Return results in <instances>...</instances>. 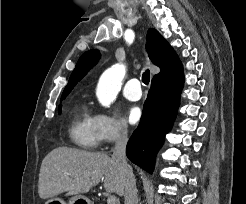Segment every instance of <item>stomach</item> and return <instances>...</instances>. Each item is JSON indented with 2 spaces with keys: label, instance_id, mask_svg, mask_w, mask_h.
<instances>
[{
  "label": "stomach",
  "instance_id": "1",
  "mask_svg": "<svg viewBox=\"0 0 246 204\" xmlns=\"http://www.w3.org/2000/svg\"><path fill=\"white\" fill-rule=\"evenodd\" d=\"M45 204H66V203L60 198H51ZM68 204H92V203L89 198L83 195H78L72 197L69 200Z\"/></svg>",
  "mask_w": 246,
  "mask_h": 204
}]
</instances>
